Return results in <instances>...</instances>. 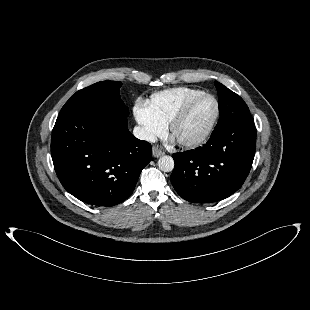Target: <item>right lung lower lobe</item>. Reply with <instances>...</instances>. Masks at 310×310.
I'll return each mask as SVG.
<instances>
[{"instance_id":"1","label":"right lung lower lobe","mask_w":310,"mask_h":310,"mask_svg":"<svg viewBox=\"0 0 310 310\" xmlns=\"http://www.w3.org/2000/svg\"><path fill=\"white\" fill-rule=\"evenodd\" d=\"M51 156L69 193L88 204L114 206L133 192L152 147L129 132L127 116L88 107L59 114Z\"/></svg>"}]
</instances>
